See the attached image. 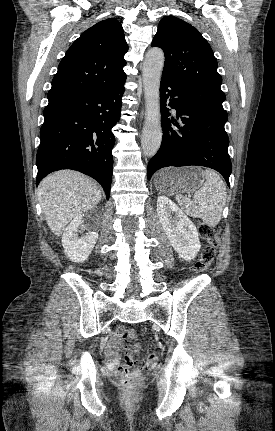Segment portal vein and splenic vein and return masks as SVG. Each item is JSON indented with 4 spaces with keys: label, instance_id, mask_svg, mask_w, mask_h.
Segmentation results:
<instances>
[{
    "label": "portal vein and splenic vein",
    "instance_id": "1",
    "mask_svg": "<svg viewBox=\"0 0 275 431\" xmlns=\"http://www.w3.org/2000/svg\"><path fill=\"white\" fill-rule=\"evenodd\" d=\"M188 198H191V195H188Z\"/></svg>",
    "mask_w": 275,
    "mask_h": 431
}]
</instances>
